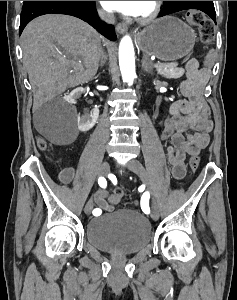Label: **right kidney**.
I'll return each mask as SVG.
<instances>
[{"mask_svg":"<svg viewBox=\"0 0 237 300\" xmlns=\"http://www.w3.org/2000/svg\"><path fill=\"white\" fill-rule=\"evenodd\" d=\"M82 93H84L83 87H78V89L71 91L70 95H68V103L75 105L77 99H80ZM98 117L99 109H91V111H87L84 115H78L77 123L79 131H90V129L94 127L96 121H98Z\"/></svg>","mask_w":237,"mask_h":300,"instance_id":"ca27d5eb","label":"right kidney"}]
</instances>
